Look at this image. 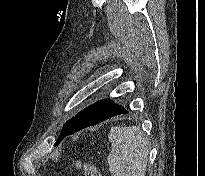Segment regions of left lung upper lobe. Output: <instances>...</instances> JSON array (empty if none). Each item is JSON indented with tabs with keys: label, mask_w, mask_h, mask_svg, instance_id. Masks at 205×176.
<instances>
[{
	"label": "left lung upper lobe",
	"mask_w": 205,
	"mask_h": 176,
	"mask_svg": "<svg viewBox=\"0 0 205 176\" xmlns=\"http://www.w3.org/2000/svg\"><path fill=\"white\" fill-rule=\"evenodd\" d=\"M72 119H73V117L64 124L63 129L61 131V134H60L59 138L57 139L55 145H58V143H60V141L62 140L63 134L67 130L68 126L70 125V123L72 121Z\"/></svg>",
	"instance_id": "5c2ea615"
}]
</instances>
